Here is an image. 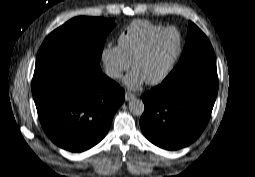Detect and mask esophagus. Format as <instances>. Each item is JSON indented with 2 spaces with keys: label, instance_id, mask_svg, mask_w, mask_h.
<instances>
[{
  "label": "esophagus",
  "instance_id": "obj_1",
  "mask_svg": "<svg viewBox=\"0 0 255 177\" xmlns=\"http://www.w3.org/2000/svg\"><path fill=\"white\" fill-rule=\"evenodd\" d=\"M133 98H135V95H134V94H132V93H130V92H126V93H125V100H126V101H129V100H131V99H133Z\"/></svg>",
  "mask_w": 255,
  "mask_h": 177
}]
</instances>
